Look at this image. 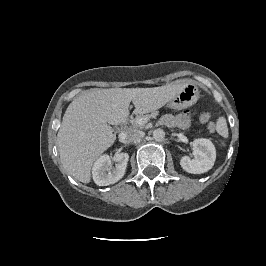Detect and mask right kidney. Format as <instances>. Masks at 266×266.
Instances as JSON below:
<instances>
[{"mask_svg":"<svg viewBox=\"0 0 266 266\" xmlns=\"http://www.w3.org/2000/svg\"><path fill=\"white\" fill-rule=\"evenodd\" d=\"M116 167L112 168L111 159L108 155L99 157L94 163L92 175L98 186H107L118 182L125 174L129 155L119 153L113 157Z\"/></svg>","mask_w":266,"mask_h":266,"instance_id":"1","label":"right kidney"}]
</instances>
